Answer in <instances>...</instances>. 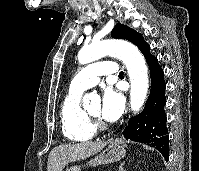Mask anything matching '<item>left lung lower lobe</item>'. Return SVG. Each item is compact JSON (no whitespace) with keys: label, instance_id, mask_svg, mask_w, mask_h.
<instances>
[{"label":"left lung lower lobe","instance_id":"obj_1","mask_svg":"<svg viewBox=\"0 0 199 171\" xmlns=\"http://www.w3.org/2000/svg\"><path fill=\"white\" fill-rule=\"evenodd\" d=\"M149 49L150 47L146 43L140 50L147 60L151 73L150 95L144 110L129 120L123 135L126 139L152 145L168 160V130L164 111L166 85L163 79V70L157 58L149 54Z\"/></svg>","mask_w":199,"mask_h":171}]
</instances>
